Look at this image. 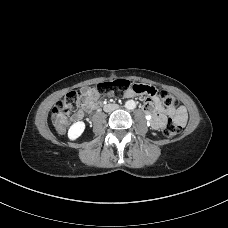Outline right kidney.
Wrapping results in <instances>:
<instances>
[{
	"label": "right kidney",
	"mask_w": 228,
	"mask_h": 228,
	"mask_svg": "<svg viewBox=\"0 0 228 228\" xmlns=\"http://www.w3.org/2000/svg\"><path fill=\"white\" fill-rule=\"evenodd\" d=\"M85 130V123L78 121L74 123L68 130V137L70 140H76L82 135Z\"/></svg>",
	"instance_id": "ca27d5eb"
}]
</instances>
